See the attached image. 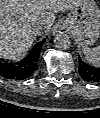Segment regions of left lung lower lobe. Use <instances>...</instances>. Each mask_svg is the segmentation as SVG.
I'll return each mask as SVG.
<instances>
[{
  "label": "left lung lower lobe",
  "mask_w": 100,
  "mask_h": 118,
  "mask_svg": "<svg viewBox=\"0 0 100 118\" xmlns=\"http://www.w3.org/2000/svg\"><path fill=\"white\" fill-rule=\"evenodd\" d=\"M79 74L84 81L91 83L100 82V67H93L79 59Z\"/></svg>",
  "instance_id": "0a47b994"
}]
</instances>
